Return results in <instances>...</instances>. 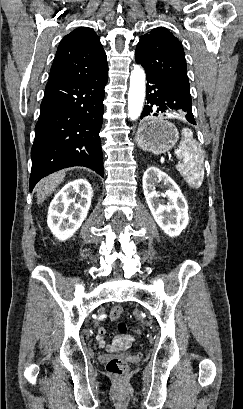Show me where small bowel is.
Listing matches in <instances>:
<instances>
[{
	"label": "small bowel",
	"instance_id": "obj_1",
	"mask_svg": "<svg viewBox=\"0 0 243 409\" xmlns=\"http://www.w3.org/2000/svg\"><path fill=\"white\" fill-rule=\"evenodd\" d=\"M107 329L106 327L102 326L99 328L97 335H96V341L99 345V347L106 349L108 352H117L120 350H125L131 347L132 342L134 338L130 335H119L114 338V340L110 343L107 344L105 341V335H106Z\"/></svg>",
	"mask_w": 243,
	"mask_h": 409
}]
</instances>
